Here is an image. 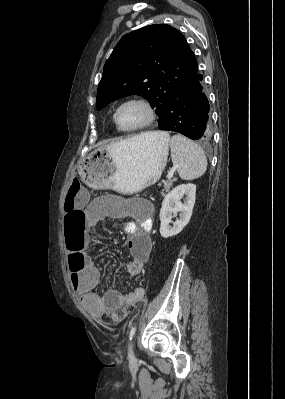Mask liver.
I'll return each mask as SVG.
<instances>
[{
  "mask_svg": "<svg viewBox=\"0 0 285 399\" xmlns=\"http://www.w3.org/2000/svg\"><path fill=\"white\" fill-rule=\"evenodd\" d=\"M157 135H158V132H146V133H142V134H140L138 136L145 137V138H150V139H155L157 137ZM117 143H119V142H116V143H113V144H109V145H105V146H102L101 148H110L112 145H115Z\"/></svg>",
  "mask_w": 285,
  "mask_h": 399,
  "instance_id": "6515ba94",
  "label": "liver"
}]
</instances>
